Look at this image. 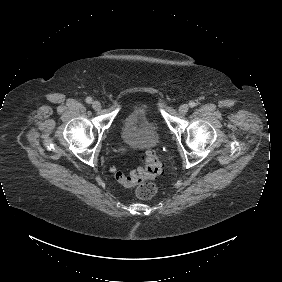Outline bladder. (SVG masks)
Returning a JSON list of instances; mask_svg holds the SVG:
<instances>
[{
    "mask_svg": "<svg viewBox=\"0 0 282 282\" xmlns=\"http://www.w3.org/2000/svg\"><path fill=\"white\" fill-rule=\"evenodd\" d=\"M121 142L134 150H143L158 143L156 124L150 120L147 107H133L123 120L120 130Z\"/></svg>",
    "mask_w": 282,
    "mask_h": 282,
    "instance_id": "31cf9c89",
    "label": "bladder"
}]
</instances>
